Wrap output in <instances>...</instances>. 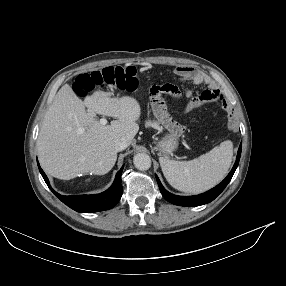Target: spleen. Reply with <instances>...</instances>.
Here are the masks:
<instances>
[{"mask_svg":"<svg viewBox=\"0 0 286 286\" xmlns=\"http://www.w3.org/2000/svg\"><path fill=\"white\" fill-rule=\"evenodd\" d=\"M233 144L227 140L208 153L190 161H173L160 157L162 172L175 189L192 194L202 193L218 184L228 173Z\"/></svg>","mask_w":286,"mask_h":286,"instance_id":"obj_1","label":"spleen"}]
</instances>
